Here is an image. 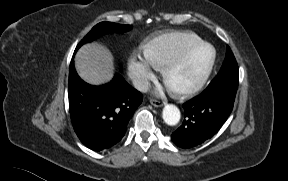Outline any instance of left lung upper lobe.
Returning a JSON list of instances; mask_svg holds the SVG:
<instances>
[{
	"mask_svg": "<svg viewBox=\"0 0 288 181\" xmlns=\"http://www.w3.org/2000/svg\"><path fill=\"white\" fill-rule=\"evenodd\" d=\"M238 65L235 57L227 46L226 58L217 76L211 81L203 93L219 92L235 97L238 87Z\"/></svg>",
	"mask_w": 288,
	"mask_h": 181,
	"instance_id": "5c2ea615",
	"label": "left lung upper lobe"
}]
</instances>
